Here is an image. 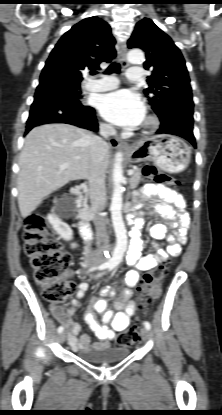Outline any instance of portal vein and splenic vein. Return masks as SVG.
Segmentation results:
<instances>
[{"instance_id":"obj_1","label":"portal vein and splenic vein","mask_w":222,"mask_h":415,"mask_svg":"<svg viewBox=\"0 0 222 415\" xmlns=\"http://www.w3.org/2000/svg\"><path fill=\"white\" fill-rule=\"evenodd\" d=\"M69 166V163H64L63 165H61V169L67 168ZM133 174V170H129L128 171V175H132Z\"/></svg>"}]
</instances>
